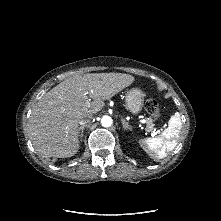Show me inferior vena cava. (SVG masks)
<instances>
[{
    "instance_id": "inferior-vena-cava-1",
    "label": "inferior vena cava",
    "mask_w": 221,
    "mask_h": 221,
    "mask_svg": "<svg viewBox=\"0 0 221 221\" xmlns=\"http://www.w3.org/2000/svg\"><path fill=\"white\" fill-rule=\"evenodd\" d=\"M92 118H93L92 114H86L80 118L79 124L85 125V124L89 123L92 120Z\"/></svg>"
}]
</instances>
